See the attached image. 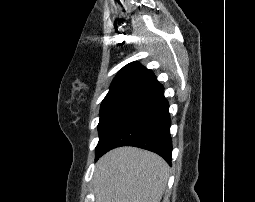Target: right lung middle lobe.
I'll return each mask as SVG.
<instances>
[{
    "label": "right lung middle lobe",
    "mask_w": 255,
    "mask_h": 202,
    "mask_svg": "<svg viewBox=\"0 0 255 202\" xmlns=\"http://www.w3.org/2000/svg\"><path fill=\"white\" fill-rule=\"evenodd\" d=\"M135 112H113L100 115L98 124L99 142L95 150V160L102 155L114 135L135 115Z\"/></svg>",
    "instance_id": "1"
}]
</instances>
